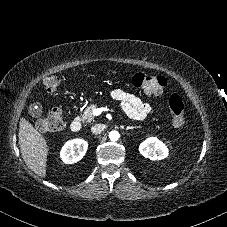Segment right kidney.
I'll return each mask as SVG.
<instances>
[{
  "mask_svg": "<svg viewBox=\"0 0 227 227\" xmlns=\"http://www.w3.org/2000/svg\"><path fill=\"white\" fill-rule=\"evenodd\" d=\"M88 148L87 141L73 139L65 143L60 151V157L66 164H73L83 158Z\"/></svg>",
  "mask_w": 227,
  "mask_h": 227,
  "instance_id": "obj_1",
  "label": "right kidney"
}]
</instances>
